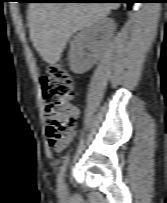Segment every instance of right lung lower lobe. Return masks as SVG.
Returning <instances> with one entry per match:
<instances>
[{
	"mask_svg": "<svg viewBox=\"0 0 167 203\" xmlns=\"http://www.w3.org/2000/svg\"><path fill=\"white\" fill-rule=\"evenodd\" d=\"M88 1H115L114 3H127L130 8L135 0H88Z\"/></svg>",
	"mask_w": 167,
	"mask_h": 203,
	"instance_id": "right-lung-lower-lobe-1",
	"label": "right lung lower lobe"
}]
</instances>
